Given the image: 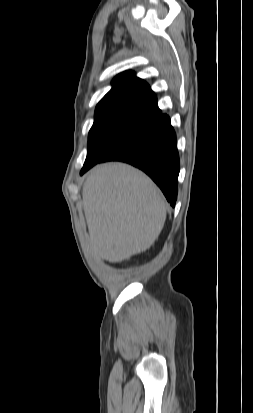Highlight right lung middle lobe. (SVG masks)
<instances>
[{
  "label": "right lung middle lobe",
  "mask_w": 253,
  "mask_h": 413,
  "mask_svg": "<svg viewBox=\"0 0 253 413\" xmlns=\"http://www.w3.org/2000/svg\"><path fill=\"white\" fill-rule=\"evenodd\" d=\"M162 121V118L133 111L118 110L95 114L82 170L91 168L115 150L151 131Z\"/></svg>",
  "instance_id": "right-lung-middle-lobe-1"
}]
</instances>
